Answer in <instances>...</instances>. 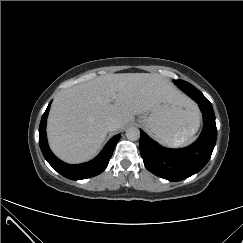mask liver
I'll return each mask as SVG.
<instances>
[{
	"label": "liver",
	"instance_id": "6515ba94",
	"mask_svg": "<svg viewBox=\"0 0 243 243\" xmlns=\"http://www.w3.org/2000/svg\"><path fill=\"white\" fill-rule=\"evenodd\" d=\"M188 105L168 79L155 73L106 74L60 91L47 123L52 151L68 163L97 154L106 139V122L116 119L119 129L160 103Z\"/></svg>",
	"mask_w": 243,
	"mask_h": 243
}]
</instances>
